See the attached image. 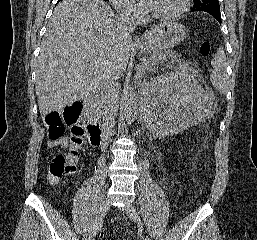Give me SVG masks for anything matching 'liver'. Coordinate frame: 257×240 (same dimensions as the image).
Listing matches in <instances>:
<instances>
[{"label":"liver","instance_id":"obj_1","mask_svg":"<svg viewBox=\"0 0 257 240\" xmlns=\"http://www.w3.org/2000/svg\"><path fill=\"white\" fill-rule=\"evenodd\" d=\"M131 50L130 33L120 30V18L104 0H62L50 18L38 58L35 88L41 115L62 111L105 82L119 79Z\"/></svg>","mask_w":257,"mask_h":240}]
</instances>
